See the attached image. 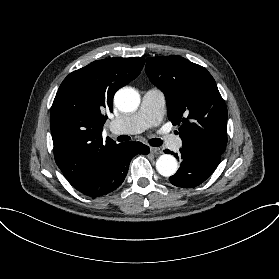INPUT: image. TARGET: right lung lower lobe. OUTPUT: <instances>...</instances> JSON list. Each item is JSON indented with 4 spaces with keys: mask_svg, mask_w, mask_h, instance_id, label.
Listing matches in <instances>:
<instances>
[{
    "mask_svg": "<svg viewBox=\"0 0 279 279\" xmlns=\"http://www.w3.org/2000/svg\"><path fill=\"white\" fill-rule=\"evenodd\" d=\"M149 147L140 142L121 143L107 165L78 191L89 197H99L114 191L124 181L131 159L136 154H148Z\"/></svg>",
    "mask_w": 279,
    "mask_h": 279,
    "instance_id": "1",
    "label": "right lung lower lobe"
}]
</instances>
